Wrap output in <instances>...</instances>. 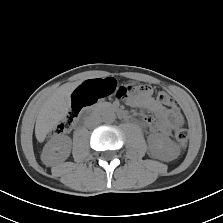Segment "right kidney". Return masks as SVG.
Returning a JSON list of instances; mask_svg holds the SVG:
<instances>
[{"instance_id": "ca27d5eb", "label": "right kidney", "mask_w": 223, "mask_h": 223, "mask_svg": "<svg viewBox=\"0 0 223 223\" xmlns=\"http://www.w3.org/2000/svg\"><path fill=\"white\" fill-rule=\"evenodd\" d=\"M71 139L67 136L52 139L42 151V161L46 165H52L58 161H65L71 152Z\"/></svg>"}]
</instances>
